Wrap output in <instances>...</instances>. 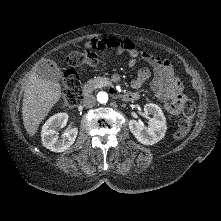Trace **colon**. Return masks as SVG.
I'll use <instances>...</instances> for the list:
<instances>
[{
    "mask_svg": "<svg viewBox=\"0 0 221 221\" xmlns=\"http://www.w3.org/2000/svg\"><path fill=\"white\" fill-rule=\"evenodd\" d=\"M101 57L91 50L73 51L67 57V63L71 67L83 65H96ZM63 97L62 102L65 107H74L82 99L81 83L78 74L74 70H67L62 79ZM195 104L191 100L185 101L183 114L178 122L177 130L174 134L176 139L183 138L191 128L195 114Z\"/></svg>",
    "mask_w": 221,
    "mask_h": 221,
    "instance_id": "obj_1",
    "label": "colon"
}]
</instances>
